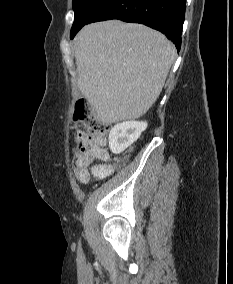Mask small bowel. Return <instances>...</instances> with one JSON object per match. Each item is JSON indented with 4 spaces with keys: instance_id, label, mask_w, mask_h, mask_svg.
<instances>
[{
    "instance_id": "c3829d8e",
    "label": "small bowel",
    "mask_w": 233,
    "mask_h": 284,
    "mask_svg": "<svg viewBox=\"0 0 233 284\" xmlns=\"http://www.w3.org/2000/svg\"><path fill=\"white\" fill-rule=\"evenodd\" d=\"M125 160L116 158L110 164H96L93 166L86 167L84 169H76L75 175L78 181L86 183L92 175L96 179H103L110 176L115 169L124 165Z\"/></svg>"
}]
</instances>
